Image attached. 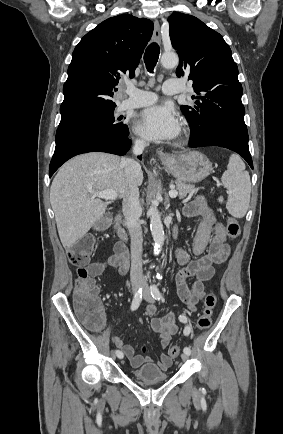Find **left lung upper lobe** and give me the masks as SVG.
Returning a JSON list of instances; mask_svg holds the SVG:
<instances>
[{"label":"left lung upper lobe","mask_w":283,"mask_h":434,"mask_svg":"<svg viewBox=\"0 0 283 434\" xmlns=\"http://www.w3.org/2000/svg\"><path fill=\"white\" fill-rule=\"evenodd\" d=\"M172 46L180 58L178 77L193 81L196 106H181L190 126V142L216 135L248 141L238 67L223 37L198 18L179 12L169 18Z\"/></svg>","instance_id":"left-lung-upper-lobe-1"}]
</instances>
